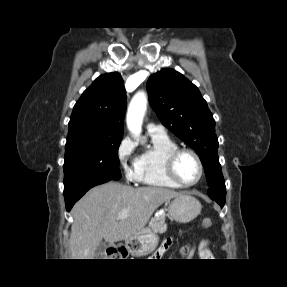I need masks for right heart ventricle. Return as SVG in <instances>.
<instances>
[{"mask_svg":"<svg viewBox=\"0 0 287 287\" xmlns=\"http://www.w3.org/2000/svg\"><path fill=\"white\" fill-rule=\"evenodd\" d=\"M151 146L137 158L138 181L145 185L178 188L179 186L168 176L165 159L169 152L178 145L167 135H151Z\"/></svg>","mask_w":287,"mask_h":287,"instance_id":"1","label":"right heart ventricle"}]
</instances>
